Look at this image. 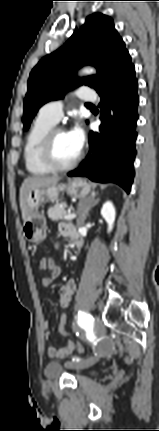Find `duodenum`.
<instances>
[{
	"mask_svg": "<svg viewBox=\"0 0 159 431\" xmlns=\"http://www.w3.org/2000/svg\"><path fill=\"white\" fill-rule=\"evenodd\" d=\"M70 237L72 238L73 244L75 246H78L80 244V240H79V238L76 236V234L74 232L71 233Z\"/></svg>",
	"mask_w": 159,
	"mask_h": 431,
	"instance_id": "obj_1",
	"label": "duodenum"
}]
</instances>
